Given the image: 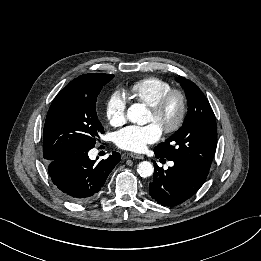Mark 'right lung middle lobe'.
I'll return each mask as SVG.
<instances>
[{"label": "right lung middle lobe", "instance_id": "right-lung-middle-lobe-1", "mask_svg": "<svg viewBox=\"0 0 261 261\" xmlns=\"http://www.w3.org/2000/svg\"><path fill=\"white\" fill-rule=\"evenodd\" d=\"M114 75L84 74L72 80L53 100L44 125L43 156L52 162L92 149L104 129L96 114L102 87Z\"/></svg>", "mask_w": 261, "mask_h": 261}]
</instances>
